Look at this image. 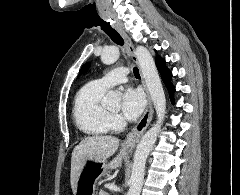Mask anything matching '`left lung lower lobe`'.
<instances>
[{"label": "left lung lower lobe", "instance_id": "1", "mask_svg": "<svg viewBox=\"0 0 240 195\" xmlns=\"http://www.w3.org/2000/svg\"><path fill=\"white\" fill-rule=\"evenodd\" d=\"M166 61L159 57L156 59V65L158 67V70L161 74L162 80L169 92V96L171 99L172 104H174V92H175V88L171 83V78H172V73L171 71L166 67Z\"/></svg>", "mask_w": 240, "mask_h": 195}]
</instances>
